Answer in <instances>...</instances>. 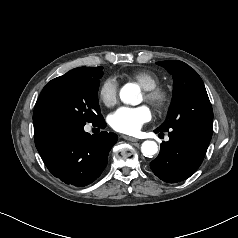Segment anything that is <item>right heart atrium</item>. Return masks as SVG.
<instances>
[{"instance_id": "obj_1", "label": "right heart atrium", "mask_w": 238, "mask_h": 238, "mask_svg": "<svg viewBox=\"0 0 238 238\" xmlns=\"http://www.w3.org/2000/svg\"><path fill=\"white\" fill-rule=\"evenodd\" d=\"M98 96L107 107H111L118 100V82L115 78H106L99 86Z\"/></svg>"}]
</instances>
